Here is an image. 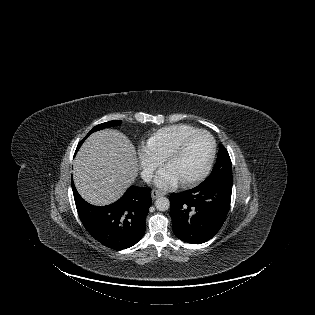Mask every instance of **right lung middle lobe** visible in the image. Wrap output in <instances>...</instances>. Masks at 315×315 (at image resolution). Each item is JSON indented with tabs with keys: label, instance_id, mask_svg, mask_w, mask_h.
Returning <instances> with one entry per match:
<instances>
[{
	"label": "right lung middle lobe",
	"instance_id": "1",
	"mask_svg": "<svg viewBox=\"0 0 315 315\" xmlns=\"http://www.w3.org/2000/svg\"><path fill=\"white\" fill-rule=\"evenodd\" d=\"M121 124V120H116V121H109V122H105V123H102V124H99L97 126H95L89 133L87 136H89L91 133L95 132V131H98V130H102L104 128H107V127H111V126H117V125H120ZM86 136V137H87ZM85 137V138H86ZM85 140V139H84ZM83 142V141H82ZM82 142L80 143V145L82 144ZM79 145V147H80ZM78 147V148H79Z\"/></svg>",
	"mask_w": 315,
	"mask_h": 315
}]
</instances>
